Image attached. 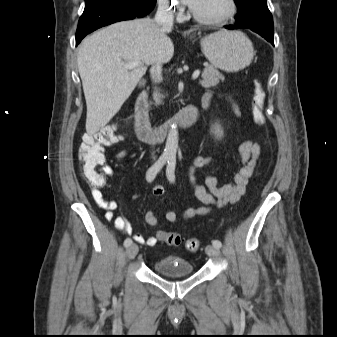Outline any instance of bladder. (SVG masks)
<instances>
[{
    "label": "bladder",
    "mask_w": 337,
    "mask_h": 337,
    "mask_svg": "<svg viewBox=\"0 0 337 337\" xmlns=\"http://www.w3.org/2000/svg\"><path fill=\"white\" fill-rule=\"evenodd\" d=\"M155 272L167 277L187 276L194 273L193 265L180 256H164L154 264Z\"/></svg>",
    "instance_id": "obj_1"
}]
</instances>
